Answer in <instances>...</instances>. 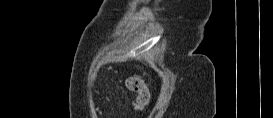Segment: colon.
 Here are the masks:
<instances>
[{
    "label": "colon",
    "mask_w": 273,
    "mask_h": 118,
    "mask_svg": "<svg viewBox=\"0 0 273 118\" xmlns=\"http://www.w3.org/2000/svg\"><path fill=\"white\" fill-rule=\"evenodd\" d=\"M126 88L136 94V110L143 111L149 102V91L145 82L139 77H129L126 80Z\"/></svg>",
    "instance_id": "obj_1"
}]
</instances>
